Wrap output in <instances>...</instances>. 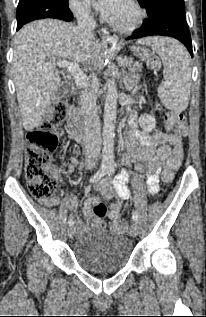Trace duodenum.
Segmentation results:
<instances>
[{"mask_svg":"<svg viewBox=\"0 0 206 317\" xmlns=\"http://www.w3.org/2000/svg\"><path fill=\"white\" fill-rule=\"evenodd\" d=\"M68 125L75 140L85 142L88 139V131L75 108H70Z\"/></svg>","mask_w":206,"mask_h":317,"instance_id":"410a0bca","label":"duodenum"}]
</instances>
